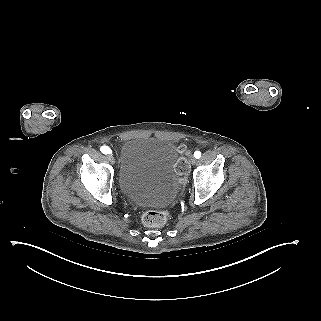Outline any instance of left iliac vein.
I'll return each instance as SVG.
<instances>
[{"mask_svg": "<svg viewBox=\"0 0 321 321\" xmlns=\"http://www.w3.org/2000/svg\"><path fill=\"white\" fill-rule=\"evenodd\" d=\"M189 162L192 164V165H194V164H196V162H197V160H196V158L194 157V156H190L189 157Z\"/></svg>", "mask_w": 321, "mask_h": 321, "instance_id": "obj_1", "label": "left iliac vein"}]
</instances>
